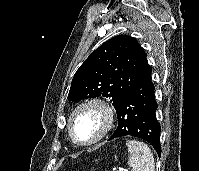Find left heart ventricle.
Instances as JSON below:
<instances>
[{
    "label": "left heart ventricle",
    "mask_w": 199,
    "mask_h": 171,
    "mask_svg": "<svg viewBox=\"0 0 199 171\" xmlns=\"http://www.w3.org/2000/svg\"><path fill=\"white\" fill-rule=\"evenodd\" d=\"M103 120L99 112L93 108L81 110L73 120L72 127L76 138L88 142L100 132Z\"/></svg>",
    "instance_id": "left-heart-ventricle-1"
}]
</instances>
